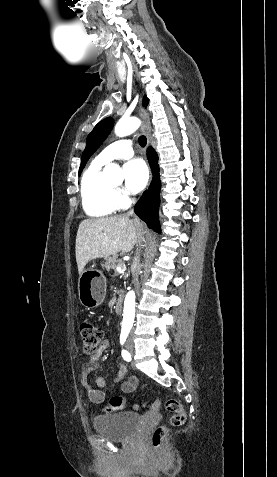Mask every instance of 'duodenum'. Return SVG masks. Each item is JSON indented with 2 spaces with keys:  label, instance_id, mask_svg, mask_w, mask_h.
<instances>
[{
  "label": "duodenum",
  "instance_id": "obj_1",
  "mask_svg": "<svg viewBox=\"0 0 277 477\" xmlns=\"http://www.w3.org/2000/svg\"><path fill=\"white\" fill-rule=\"evenodd\" d=\"M114 310L117 314H121L123 310V301L121 298H118L114 305Z\"/></svg>",
  "mask_w": 277,
  "mask_h": 477
}]
</instances>
